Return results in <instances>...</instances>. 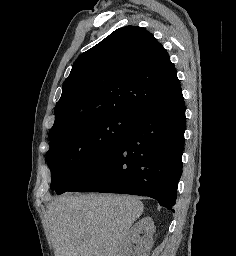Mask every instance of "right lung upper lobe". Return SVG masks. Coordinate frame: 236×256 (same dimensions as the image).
I'll use <instances>...</instances> for the list:
<instances>
[{
	"instance_id": "right-lung-upper-lobe-1",
	"label": "right lung upper lobe",
	"mask_w": 236,
	"mask_h": 256,
	"mask_svg": "<svg viewBox=\"0 0 236 256\" xmlns=\"http://www.w3.org/2000/svg\"><path fill=\"white\" fill-rule=\"evenodd\" d=\"M180 89L175 66L153 34L138 26L119 28L74 62L49 135L108 116L137 120Z\"/></svg>"
}]
</instances>
